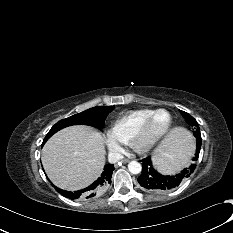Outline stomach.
<instances>
[{
  "label": "stomach",
  "mask_w": 233,
  "mask_h": 233,
  "mask_svg": "<svg viewBox=\"0 0 233 233\" xmlns=\"http://www.w3.org/2000/svg\"><path fill=\"white\" fill-rule=\"evenodd\" d=\"M156 164V166L161 170V171H163V172H166V169L164 168V167H162V165L161 164H159V163H155Z\"/></svg>",
  "instance_id": "0dacf381"
}]
</instances>
